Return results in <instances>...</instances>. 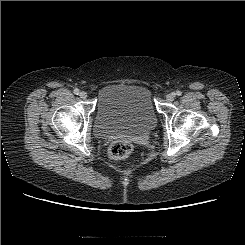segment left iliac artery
<instances>
[{
  "instance_id": "obj_1",
  "label": "left iliac artery",
  "mask_w": 245,
  "mask_h": 245,
  "mask_svg": "<svg viewBox=\"0 0 245 245\" xmlns=\"http://www.w3.org/2000/svg\"><path fill=\"white\" fill-rule=\"evenodd\" d=\"M181 94H182L181 91L176 92V95H178V96H180Z\"/></svg>"
}]
</instances>
